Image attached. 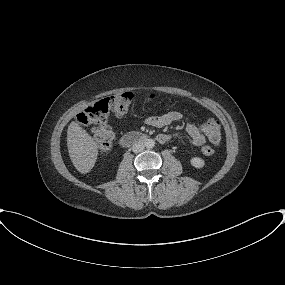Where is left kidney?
I'll return each instance as SVG.
<instances>
[{
	"label": "left kidney",
	"mask_w": 285,
	"mask_h": 285,
	"mask_svg": "<svg viewBox=\"0 0 285 285\" xmlns=\"http://www.w3.org/2000/svg\"><path fill=\"white\" fill-rule=\"evenodd\" d=\"M190 163L193 167L198 168V169L203 168L205 165L204 160L200 157L191 158Z\"/></svg>",
	"instance_id": "5707ae66"
}]
</instances>
